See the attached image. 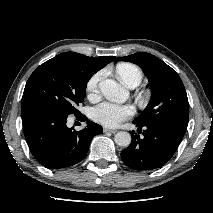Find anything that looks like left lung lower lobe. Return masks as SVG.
<instances>
[{
  "label": "left lung lower lobe",
  "instance_id": "1",
  "mask_svg": "<svg viewBox=\"0 0 213 213\" xmlns=\"http://www.w3.org/2000/svg\"><path fill=\"white\" fill-rule=\"evenodd\" d=\"M131 131L132 143L121 152L123 162L136 170H152L163 166L173 156L186 132L185 128L171 123L138 124Z\"/></svg>",
  "mask_w": 213,
  "mask_h": 213
}]
</instances>
